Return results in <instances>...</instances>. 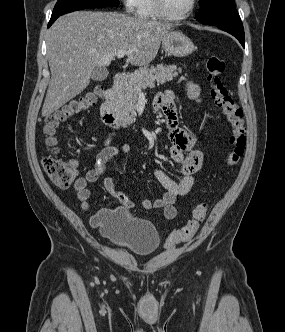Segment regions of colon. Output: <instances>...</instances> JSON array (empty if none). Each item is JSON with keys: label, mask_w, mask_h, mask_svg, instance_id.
Instances as JSON below:
<instances>
[{"label": "colon", "mask_w": 285, "mask_h": 332, "mask_svg": "<svg viewBox=\"0 0 285 332\" xmlns=\"http://www.w3.org/2000/svg\"><path fill=\"white\" fill-rule=\"evenodd\" d=\"M205 70L210 84L211 99L231 129L230 149L225 157V162L228 167L234 168L242 159L246 146L243 112L221 80V75L225 70L224 60L214 55L208 57L205 61ZM102 92L101 87H96L92 91L69 101L45 119L46 144L52 151V155L43 158L42 166L50 180L59 188H69L76 181L78 167L75 161L64 160L57 156L59 151L56 138L57 130L74 116L93 107ZM207 211L206 203L194 206L191 219L183 227L169 232L166 247L173 249L178 244L192 239L205 220Z\"/></svg>", "instance_id": "5ec220e1"}]
</instances>
